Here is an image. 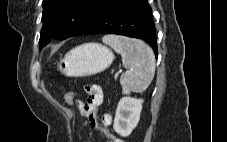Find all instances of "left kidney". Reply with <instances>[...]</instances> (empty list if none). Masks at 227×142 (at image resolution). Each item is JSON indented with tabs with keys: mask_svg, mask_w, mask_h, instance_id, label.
Here are the masks:
<instances>
[{
	"mask_svg": "<svg viewBox=\"0 0 227 142\" xmlns=\"http://www.w3.org/2000/svg\"><path fill=\"white\" fill-rule=\"evenodd\" d=\"M142 99L124 97L118 103L113 128L122 137L129 136L137 126L142 110Z\"/></svg>",
	"mask_w": 227,
	"mask_h": 142,
	"instance_id": "1",
	"label": "left kidney"
}]
</instances>
